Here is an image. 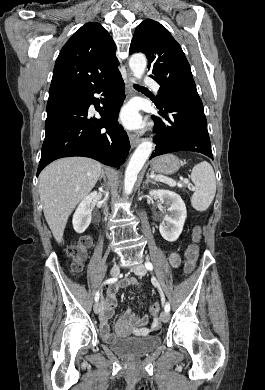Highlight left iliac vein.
Instances as JSON below:
<instances>
[{
  "label": "left iliac vein",
  "instance_id": "obj_1",
  "mask_svg": "<svg viewBox=\"0 0 265 390\" xmlns=\"http://www.w3.org/2000/svg\"><path fill=\"white\" fill-rule=\"evenodd\" d=\"M133 271L138 276H144L147 272L146 267L142 264H138L133 267ZM160 319L162 322H167L169 320V313L166 311H163L160 315Z\"/></svg>",
  "mask_w": 265,
  "mask_h": 390
}]
</instances>
